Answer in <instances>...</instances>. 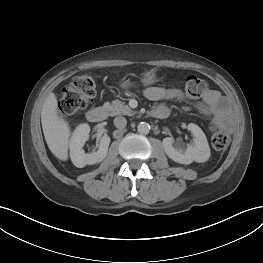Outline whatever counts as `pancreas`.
<instances>
[{
    "mask_svg": "<svg viewBox=\"0 0 263 263\" xmlns=\"http://www.w3.org/2000/svg\"><path fill=\"white\" fill-rule=\"evenodd\" d=\"M103 107L110 112L111 116L121 114L132 116L135 114V112L132 111V109L128 105H125L124 102H121L119 100L112 101V103L105 102Z\"/></svg>",
    "mask_w": 263,
    "mask_h": 263,
    "instance_id": "1",
    "label": "pancreas"
}]
</instances>
